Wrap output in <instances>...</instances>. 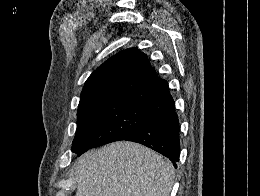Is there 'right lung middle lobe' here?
I'll return each mask as SVG.
<instances>
[{
  "label": "right lung middle lobe",
  "instance_id": "dd1d6c3e",
  "mask_svg": "<svg viewBox=\"0 0 260 196\" xmlns=\"http://www.w3.org/2000/svg\"><path fill=\"white\" fill-rule=\"evenodd\" d=\"M77 131L72 151L118 141L154 118L143 106L127 102H108L79 106Z\"/></svg>",
  "mask_w": 260,
  "mask_h": 196
}]
</instances>
